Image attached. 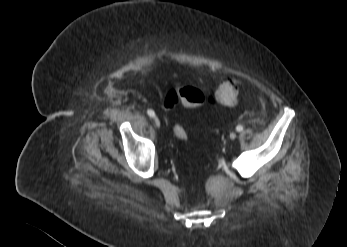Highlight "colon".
Masks as SVG:
<instances>
[{
    "label": "colon",
    "instance_id": "1",
    "mask_svg": "<svg viewBox=\"0 0 347 247\" xmlns=\"http://www.w3.org/2000/svg\"><path fill=\"white\" fill-rule=\"evenodd\" d=\"M237 100V87L230 80L222 81L215 89L214 93L205 95L194 86H184L170 91L164 100V107L173 110L179 105L187 107H198L203 104L232 106ZM174 136L180 141H187L188 134L185 127L180 123H175L172 127Z\"/></svg>",
    "mask_w": 347,
    "mask_h": 247
}]
</instances>
